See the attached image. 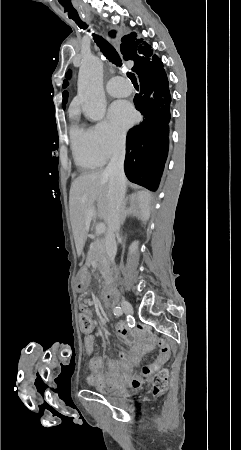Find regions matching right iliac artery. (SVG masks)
Instances as JSON below:
<instances>
[{
  "label": "right iliac artery",
  "instance_id": "right-iliac-artery-1",
  "mask_svg": "<svg viewBox=\"0 0 241 450\" xmlns=\"http://www.w3.org/2000/svg\"><path fill=\"white\" fill-rule=\"evenodd\" d=\"M113 312H114V315H116V316H121L123 314V311H122L121 307H119V306H116L114 308Z\"/></svg>",
  "mask_w": 241,
  "mask_h": 450
}]
</instances>
